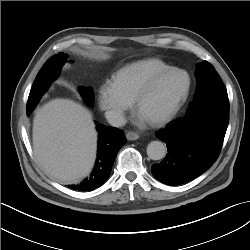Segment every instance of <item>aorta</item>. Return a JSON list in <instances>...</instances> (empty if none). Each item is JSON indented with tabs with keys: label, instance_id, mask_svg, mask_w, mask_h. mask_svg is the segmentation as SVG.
I'll return each instance as SVG.
<instances>
[{
	"label": "aorta",
	"instance_id": "762f6f07",
	"mask_svg": "<svg viewBox=\"0 0 250 250\" xmlns=\"http://www.w3.org/2000/svg\"><path fill=\"white\" fill-rule=\"evenodd\" d=\"M166 154V147L161 141H152L147 146V155L152 160H160Z\"/></svg>",
	"mask_w": 250,
	"mask_h": 250
}]
</instances>
